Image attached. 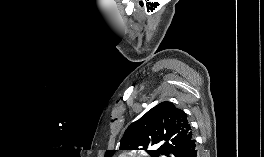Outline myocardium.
Listing matches in <instances>:
<instances>
[{
    "label": "myocardium",
    "mask_w": 264,
    "mask_h": 157,
    "mask_svg": "<svg viewBox=\"0 0 264 157\" xmlns=\"http://www.w3.org/2000/svg\"><path fill=\"white\" fill-rule=\"evenodd\" d=\"M131 157H142V156H131Z\"/></svg>",
    "instance_id": "1"
}]
</instances>
